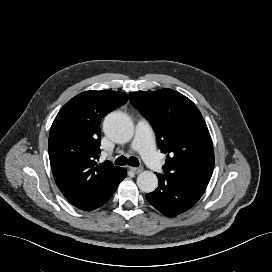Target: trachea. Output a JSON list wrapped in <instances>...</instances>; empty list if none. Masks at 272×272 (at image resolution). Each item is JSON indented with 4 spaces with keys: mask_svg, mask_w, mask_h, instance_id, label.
Listing matches in <instances>:
<instances>
[{
    "mask_svg": "<svg viewBox=\"0 0 272 272\" xmlns=\"http://www.w3.org/2000/svg\"><path fill=\"white\" fill-rule=\"evenodd\" d=\"M115 164L116 165H127L129 164L130 166H134L137 167L139 166V161L136 157H130L129 159H127L124 156H120L115 160Z\"/></svg>",
    "mask_w": 272,
    "mask_h": 272,
    "instance_id": "trachea-1",
    "label": "trachea"
}]
</instances>
